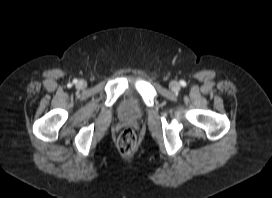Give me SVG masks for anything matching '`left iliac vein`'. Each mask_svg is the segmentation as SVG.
<instances>
[{"mask_svg": "<svg viewBox=\"0 0 272 198\" xmlns=\"http://www.w3.org/2000/svg\"><path fill=\"white\" fill-rule=\"evenodd\" d=\"M169 86L173 91H179L180 90V84L177 81L170 82Z\"/></svg>", "mask_w": 272, "mask_h": 198, "instance_id": "left-iliac-vein-1", "label": "left iliac vein"}]
</instances>
